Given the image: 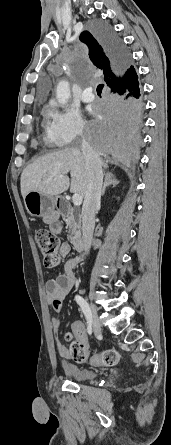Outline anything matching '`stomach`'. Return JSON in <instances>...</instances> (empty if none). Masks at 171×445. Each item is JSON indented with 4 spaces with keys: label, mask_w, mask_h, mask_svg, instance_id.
Wrapping results in <instances>:
<instances>
[{
    "label": "stomach",
    "mask_w": 171,
    "mask_h": 445,
    "mask_svg": "<svg viewBox=\"0 0 171 445\" xmlns=\"http://www.w3.org/2000/svg\"><path fill=\"white\" fill-rule=\"evenodd\" d=\"M24 204L27 212L35 217H49L51 220L58 219V212L55 210L57 198L47 196L37 191H31L24 197Z\"/></svg>",
    "instance_id": "stomach-1"
}]
</instances>
